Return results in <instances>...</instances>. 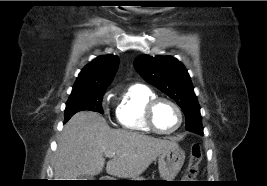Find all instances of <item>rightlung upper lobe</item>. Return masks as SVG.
I'll return each instance as SVG.
<instances>
[{"label": "right lung upper lobe", "mask_w": 267, "mask_h": 186, "mask_svg": "<svg viewBox=\"0 0 267 186\" xmlns=\"http://www.w3.org/2000/svg\"><path fill=\"white\" fill-rule=\"evenodd\" d=\"M118 64L119 57L115 55L95 58L79 73L72 91L107 88L116 73Z\"/></svg>", "instance_id": "cb5924a9"}]
</instances>
